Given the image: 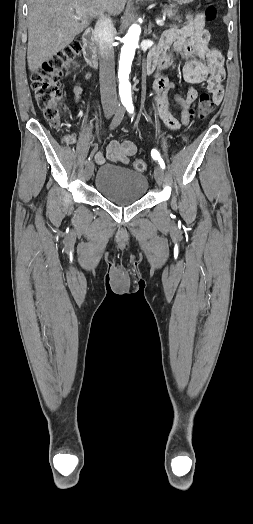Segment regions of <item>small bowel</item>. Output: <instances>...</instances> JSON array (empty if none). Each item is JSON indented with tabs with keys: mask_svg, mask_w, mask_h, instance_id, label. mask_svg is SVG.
I'll return each mask as SVG.
<instances>
[{
	"mask_svg": "<svg viewBox=\"0 0 253 524\" xmlns=\"http://www.w3.org/2000/svg\"><path fill=\"white\" fill-rule=\"evenodd\" d=\"M210 33L205 28V18L202 14L189 17L182 27H171L162 32L159 42L153 48L147 59V64L153 66L154 73V105L163 124L171 130H179L194 118L195 111L190 109L198 98L195 85L207 81V88L216 103L223 96V80L225 71L223 57L219 50L210 46ZM180 59V74L182 79L189 83L186 96L177 95L174 103L181 110V118L177 119L172 114V102L169 96L173 85L163 75V71ZM74 92V91H73ZM75 100L80 101L82 93L76 94ZM190 109V110H189ZM138 147L135 143L125 140H111L107 146V155L96 153L95 161L104 164H128L136 155Z\"/></svg>",
	"mask_w": 253,
	"mask_h": 524,
	"instance_id": "1",
	"label": "small bowel"
}]
</instances>
